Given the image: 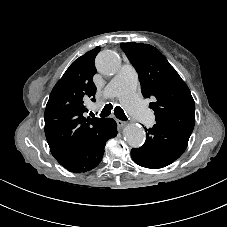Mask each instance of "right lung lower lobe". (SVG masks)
I'll return each instance as SVG.
<instances>
[{
    "instance_id": "obj_1",
    "label": "right lung lower lobe",
    "mask_w": 227,
    "mask_h": 227,
    "mask_svg": "<svg viewBox=\"0 0 227 227\" xmlns=\"http://www.w3.org/2000/svg\"><path fill=\"white\" fill-rule=\"evenodd\" d=\"M117 135V124L106 118L103 124L86 141L66 152L57 161L70 172L81 173L95 168L103 157L105 143Z\"/></svg>"
}]
</instances>
